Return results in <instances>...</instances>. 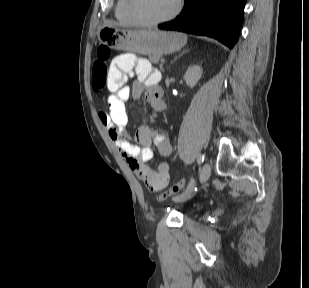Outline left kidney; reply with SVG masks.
<instances>
[{"mask_svg":"<svg viewBox=\"0 0 309 288\" xmlns=\"http://www.w3.org/2000/svg\"><path fill=\"white\" fill-rule=\"evenodd\" d=\"M202 76V68L199 65L189 67L184 75V80L189 87H194Z\"/></svg>","mask_w":309,"mask_h":288,"instance_id":"5707ae66","label":"left kidney"}]
</instances>
